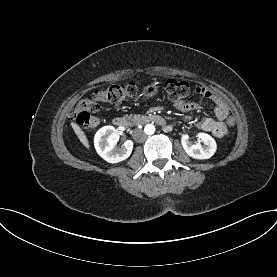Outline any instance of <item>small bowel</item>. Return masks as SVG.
I'll use <instances>...</instances> for the list:
<instances>
[{"label":"small bowel","instance_id":"1","mask_svg":"<svg viewBox=\"0 0 277 277\" xmlns=\"http://www.w3.org/2000/svg\"><path fill=\"white\" fill-rule=\"evenodd\" d=\"M197 93L208 98L214 105L216 119L206 118L196 121L195 124L200 129L212 133L215 137L221 138L226 135L228 127L223 123L226 116L229 115L227 105L212 91L207 88H197ZM176 107L182 111H193L199 109V105L194 102L180 101L175 103Z\"/></svg>","mask_w":277,"mask_h":277}]
</instances>
